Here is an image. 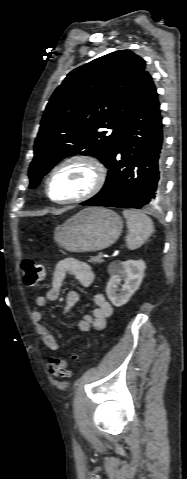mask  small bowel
Segmentation results:
<instances>
[{"label": "small bowel", "instance_id": "1", "mask_svg": "<svg viewBox=\"0 0 187 479\" xmlns=\"http://www.w3.org/2000/svg\"><path fill=\"white\" fill-rule=\"evenodd\" d=\"M67 275H71L83 288L90 287L94 280L93 271L88 264L75 258H65L59 261L56 265L48 291L44 295H39L35 298L31 310L32 318L39 326L44 345L53 352L59 350V344L54 334L42 323V308L50 302L55 301L60 296ZM80 298L81 294L79 291H69L65 298L64 313H70L75 304L79 302ZM93 302L95 308L92 313L85 314L77 322L78 328L85 333H92L93 331L104 329L108 318L113 313L111 304L103 294H94Z\"/></svg>", "mask_w": 187, "mask_h": 479}]
</instances>
